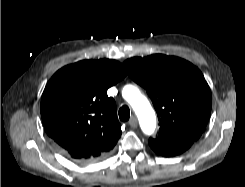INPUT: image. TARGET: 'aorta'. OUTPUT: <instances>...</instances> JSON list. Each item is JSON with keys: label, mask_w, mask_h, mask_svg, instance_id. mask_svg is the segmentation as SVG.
I'll return each mask as SVG.
<instances>
[{"label": "aorta", "mask_w": 245, "mask_h": 187, "mask_svg": "<svg viewBox=\"0 0 245 187\" xmlns=\"http://www.w3.org/2000/svg\"><path fill=\"white\" fill-rule=\"evenodd\" d=\"M123 97L130 103L138 116L143 132L146 134L153 133L156 127V117L147 98L132 85L124 87Z\"/></svg>", "instance_id": "1"}]
</instances>
